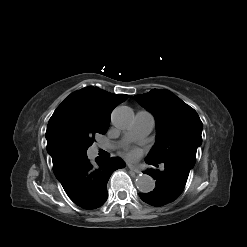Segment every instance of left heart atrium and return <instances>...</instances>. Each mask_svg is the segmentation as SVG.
<instances>
[{
	"mask_svg": "<svg viewBox=\"0 0 247 247\" xmlns=\"http://www.w3.org/2000/svg\"><path fill=\"white\" fill-rule=\"evenodd\" d=\"M128 156H129L130 158L136 157V156H137V151H135V150L130 151V152L128 153Z\"/></svg>",
	"mask_w": 247,
	"mask_h": 247,
	"instance_id": "obj_1",
	"label": "left heart atrium"
}]
</instances>
